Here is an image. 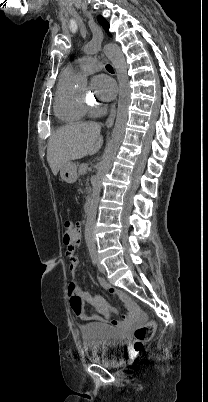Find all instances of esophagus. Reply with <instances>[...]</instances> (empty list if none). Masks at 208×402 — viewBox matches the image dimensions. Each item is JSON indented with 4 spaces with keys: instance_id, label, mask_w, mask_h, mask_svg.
<instances>
[{
    "instance_id": "obj_1",
    "label": "esophagus",
    "mask_w": 208,
    "mask_h": 402,
    "mask_svg": "<svg viewBox=\"0 0 208 402\" xmlns=\"http://www.w3.org/2000/svg\"><path fill=\"white\" fill-rule=\"evenodd\" d=\"M115 116H116V103H114L111 107L109 117L106 120L107 126H112L114 124Z\"/></svg>"
}]
</instances>
